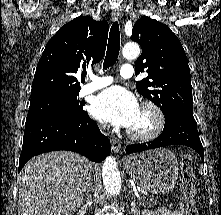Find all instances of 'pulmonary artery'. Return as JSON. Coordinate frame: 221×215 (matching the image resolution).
I'll use <instances>...</instances> for the list:
<instances>
[{"label": "pulmonary artery", "instance_id": "1", "mask_svg": "<svg viewBox=\"0 0 221 215\" xmlns=\"http://www.w3.org/2000/svg\"><path fill=\"white\" fill-rule=\"evenodd\" d=\"M120 75L122 78H131L134 75V68L130 64H124L120 68ZM114 81L113 77L111 76H98V75H90V82L85 84L81 90V95H87L93 93L99 89H102Z\"/></svg>", "mask_w": 221, "mask_h": 215}]
</instances>
